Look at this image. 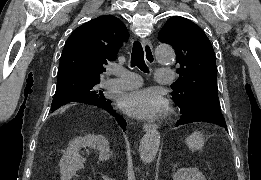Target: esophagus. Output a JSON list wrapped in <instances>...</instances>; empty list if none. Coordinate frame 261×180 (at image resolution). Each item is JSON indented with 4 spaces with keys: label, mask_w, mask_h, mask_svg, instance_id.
<instances>
[{
    "label": "esophagus",
    "mask_w": 261,
    "mask_h": 180,
    "mask_svg": "<svg viewBox=\"0 0 261 180\" xmlns=\"http://www.w3.org/2000/svg\"><path fill=\"white\" fill-rule=\"evenodd\" d=\"M143 49H144L146 62L149 63L150 65L153 64L155 62V57H154V53H153L152 43L148 38H146L143 41ZM157 128H158V126L155 123H145L143 125L144 131L156 130Z\"/></svg>",
    "instance_id": "34e87169"
}]
</instances>
